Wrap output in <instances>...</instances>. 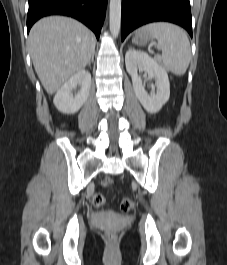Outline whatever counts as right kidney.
<instances>
[{"label":"right kidney","mask_w":227,"mask_h":265,"mask_svg":"<svg viewBox=\"0 0 227 265\" xmlns=\"http://www.w3.org/2000/svg\"><path fill=\"white\" fill-rule=\"evenodd\" d=\"M79 85L80 91L73 96L72 90ZM91 86V74L86 70L75 73L70 79L63 84L57 91L53 103L62 113L74 114L86 102Z\"/></svg>","instance_id":"1"}]
</instances>
